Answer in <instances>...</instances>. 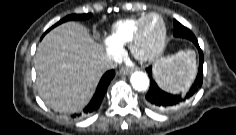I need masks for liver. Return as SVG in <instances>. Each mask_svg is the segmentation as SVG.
<instances>
[{
    "mask_svg": "<svg viewBox=\"0 0 236 135\" xmlns=\"http://www.w3.org/2000/svg\"><path fill=\"white\" fill-rule=\"evenodd\" d=\"M102 46L77 22L63 23L45 35L35 54L36 86L45 104L75 113L92 97L106 71Z\"/></svg>",
    "mask_w": 236,
    "mask_h": 135,
    "instance_id": "1",
    "label": "liver"
}]
</instances>
